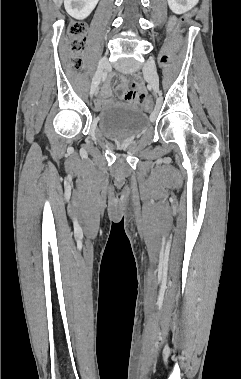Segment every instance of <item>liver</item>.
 I'll return each instance as SVG.
<instances>
[{"mask_svg":"<svg viewBox=\"0 0 241 379\" xmlns=\"http://www.w3.org/2000/svg\"><path fill=\"white\" fill-rule=\"evenodd\" d=\"M63 0H54V2L57 4V5H60L62 3Z\"/></svg>","mask_w":241,"mask_h":379,"instance_id":"6515ba94","label":"liver"}]
</instances>
